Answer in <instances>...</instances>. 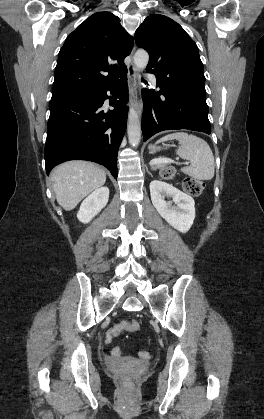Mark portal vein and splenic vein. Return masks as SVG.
<instances>
[{
	"mask_svg": "<svg viewBox=\"0 0 264 419\" xmlns=\"http://www.w3.org/2000/svg\"><path fill=\"white\" fill-rule=\"evenodd\" d=\"M155 163H174V161L168 158H160L157 159Z\"/></svg>",
	"mask_w": 264,
	"mask_h": 419,
	"instance_id": "1",
	"label": "portal vein and splenic vein"
}]
</instances>
